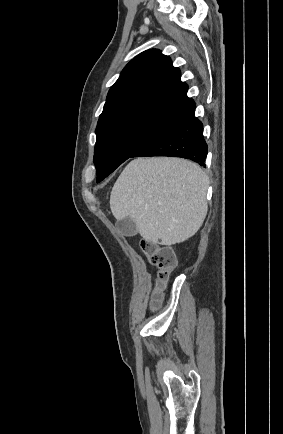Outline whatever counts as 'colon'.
<instances>
[{
    "mask_svg": "<svg viewBox=\"0 0 283 434\" xmlns=\"http://www.w3.org/2000/svg\"><path fill=\"white\" fill-rule=\"evenodd\" d=\"M141 246L149 263L156 268L155 291L152 301V306L155 307L159 301L160 292L177 265V257L171 248L164 245L142 241Z\"/></svg>",
    "mask_w": 283,
    "mask_h": 434,
    "instance_id": "1",
    "label": "colon"
}]
</instances>
